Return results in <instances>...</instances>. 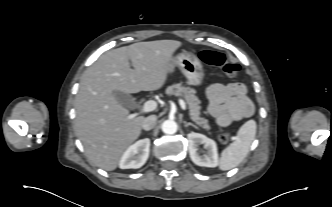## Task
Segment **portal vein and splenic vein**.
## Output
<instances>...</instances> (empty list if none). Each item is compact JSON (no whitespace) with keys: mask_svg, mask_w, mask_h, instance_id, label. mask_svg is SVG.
<instances>
[{"mask_svg":"<svg viewBox=\"0 0 332 207\" xmlns=\"http://www.w3.org/2000/svg\"><path fill=\"white\" fill-rule=\"evenodd\" d=\"M179 104L183 110H186V103L183 99L179 98ZM157 108V103L154 100L146 101L143 105L142 112H150ZM138 114L134 113L129 115L130 118H135Z\"/></svg>","mask_w":332,"mask_h":207,"instance_id":"18ae733b","label":"portal vein and splenic vein"}]
</instances>
